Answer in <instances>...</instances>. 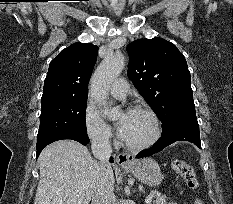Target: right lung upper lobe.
<instances>
[{"mask_svg":"<svg viewBox=\"0 0 233 204\" xmlns=\"http://www.w3.org/2000/svg\"><path fill=\"white\" fill-rule=\"evenodd\" d=\"M98 47L74 43L50 62L41 102L87 98L88 82L97 60Z\"/></svg>","mask_w":233,"mask_h":204,"instance_id":"1","label":"right lung upper lobe"}]
</instances>
